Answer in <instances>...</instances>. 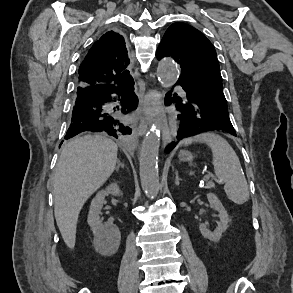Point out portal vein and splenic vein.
<instances>
[{
	"instance_id": "18ae733b",
	"label": "portal vein and splenic vein",
	"mask_w": 293,
	"mask_h": 293,
	"mask_svg": "<svg viewBox=\"0 0 293 293\" xmlns=\"http://www.w3.org/2000/svg\"><path fill=\"white\" fill-rule=\"evenodd\" d=\"M208 179H209V177L206 176V177H205V180H208Z\"/></svg>"
}]
</instances>
